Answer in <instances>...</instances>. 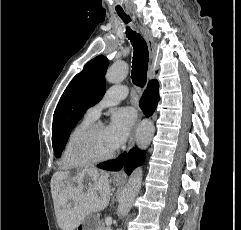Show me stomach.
Segmentation results:
<instances>
[{
    "instance_id": "obj_1",
    "label": "stomach",
    "mask_w": 241,
    "mask_h": 230,
    "mask_svg": "<svg viewBox=\"0 0 241 230\" xmlns=\"http://www.w3.org/2000/svg\"><path fill=\"white\" fill-rule=\"evenodd\" d=\"M83 184L86 186L88 182H93V176L88 174L84 175ZM99 225V220L95 215L87 216L84 221L76 227V230H97Z\"/></svg>"
}]
</instances>
